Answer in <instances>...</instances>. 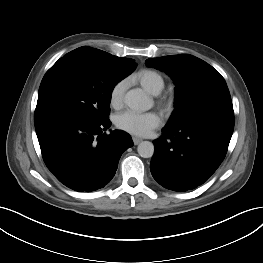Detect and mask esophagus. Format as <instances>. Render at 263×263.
<instances>
[{
	"instance_id": "1",
	"label": "esophagus",
	"mask_w": 263,
	"mask_h": 263,
	"mask_svg": "<svg viewBox=\"0 0 263 263\" xmlns=\"http://www.w3.org/2000/svg\"><path fill=\"white\" fill-rule=\"evenodd\" d=\"M132 140L135 145H138L142 141V139L139 137H132Z\"/></svg>"
}]
</instances>
